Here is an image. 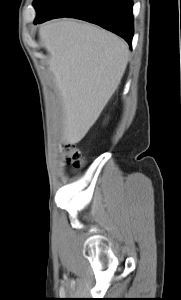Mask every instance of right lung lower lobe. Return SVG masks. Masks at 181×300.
Returning <instances> with one entry per match:
<instances>
[{
	"mask_svg": "<svg viewBox=\"0 0 181 300\" xmlns=\"http://www.w3.org/2000/svg\"><path fill=\"white\" fill-rule=\"evenodd\" d=\"M133 3L131 0H59L34 24L73 17L97 24L124 38L131 47L133 38Z\"/></svg>",
	"mask_w": 181,
	"mask_h": 300,
	"instance_id": "98d812e1",
	"label": "right lung lower lobe"
}]
</instances>
